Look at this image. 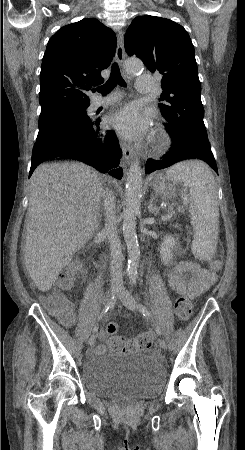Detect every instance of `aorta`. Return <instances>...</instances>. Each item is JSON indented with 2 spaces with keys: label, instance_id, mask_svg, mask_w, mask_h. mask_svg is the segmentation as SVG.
<instances>
[{
  "label": "aorta",
  "instance_id": "1",
  "mask_svg": "<svg viewBox=\"0 0 245 450\" xmlns=\"http://www.w3.org/2000/svg\"><path fill=\"white\" fill-rule=\"evenodd\" d=\"M125 71L130 74L140 73L144 69L141 60L128 58L124 62ZM142 170L138 160L134 161L126 178V208L123 219V236L128 250V268L127 273L130 278H135L140 259V249L136 234V217L140 212L142 198Z\"/></svg>",
  "mask_w": 245,
  "mask_h": 450
}]
</instances>
